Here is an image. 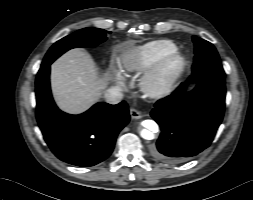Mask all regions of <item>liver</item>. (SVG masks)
Returning a JSON list of instances; mask_svg holds the SVG:
<instances>
[{"mask_svg":"<svg viewBox=\"0 0 253 200\" xmlns=\"http://www.w3.org/2000/svg\"><path fill=\"white\" fill-rule=\"evenodd\" d=\"M99 78L91 56L82 49H72L51 66V87L60 109L77 114L93 105L107 85Z\"/></svg>","mask_w":253,"mask_h":200,"instance_id":"liver-1","label":"liver"}]
</instances>
